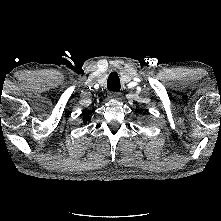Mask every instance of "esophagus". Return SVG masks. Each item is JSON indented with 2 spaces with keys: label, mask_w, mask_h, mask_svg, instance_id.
I'll return each mask as SVG.
<instances>
[{
  "label": "esophagus",
  "mask_w": 221,
  "mask_h": 221,
  "mask_svg": "<svg viewBox=\"0 0 221 221\" xmlns=\"http://www.w3.org/2000/svg\"><path fill=\"white\" fill-rule=\"evenodd\" d=\"M118 96H119V92H112V93H111V97H113V98H115V99H117Z\"/></svg>",
  "instance_id": "34e87169"
}]
</instances>
